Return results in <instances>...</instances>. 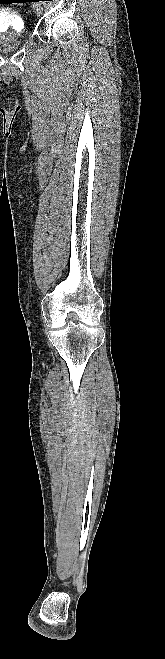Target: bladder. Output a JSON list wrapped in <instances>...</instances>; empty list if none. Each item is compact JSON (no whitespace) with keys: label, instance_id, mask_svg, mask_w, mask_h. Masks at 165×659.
Masks as SVG:
<instances>
[{"label":"bladder","instance_id":"bladder-1","mask_svg":"<svg viewBox=\"0 0 165 659\" xmlns=\"http://www.w3.org/2000/svg\"><path fill=\"white\" fill-rule=\"evenodd\" d=\"M26 35V29L18 21L9 22L5 31H0V39H17Z\"/></svg>","mask_w":165,"mask_h":659}]
</instances>
